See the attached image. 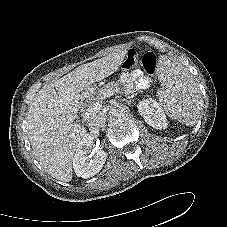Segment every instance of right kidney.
Wrapping results in <instances>:
<instances>
[{"mask_svg":"<svg viewBox=\"0 0 227 227\" xmlns=\"http://www.w3.org/2000/svg\"><path fill=\"white\" fill-rule=\"evenodd\" d=\"M93 147V137L87 134L79 142L73 158V168L76 175L84 179L97 174L102 169L107 159V153L99 149L92 151V158L88 157L87 154L91 152Z\"/></svg>","mask_w":227,"mask_h":227,"instance_id":"1","label":"right kidney"}]
</instances>
